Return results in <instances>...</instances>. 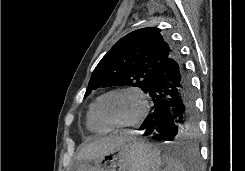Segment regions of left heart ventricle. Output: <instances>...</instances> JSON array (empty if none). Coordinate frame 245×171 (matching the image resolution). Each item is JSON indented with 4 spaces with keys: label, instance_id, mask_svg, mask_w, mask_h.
<instances>
[{
    "label": "left heart ventricle",
    "instance_id": "left-heart-ventricle-1",
    "mask_svg": "<svg viewBox=\"0 0 245 171\" xmlns=\"http://www.w3.org/2000/svg\"><path fill=\"white\" fill-rule=\"evenodd\" d=\"M140 109L138 98L132 93L107 96L101 106L103 116L112 123H123L135 117Z\"/></svg>",
    "mask_w": 245,
    "mask_h": 171
}]
</instances>
